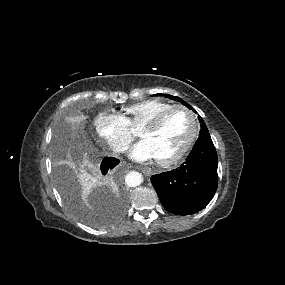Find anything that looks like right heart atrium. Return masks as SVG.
Listing matches in <instances>:
<instances>
[{
  "label": "right heart atrium",
  "mask_w": 285,
  "mask_h": 285,
  "mask_svg": "<svg viewBox=\"0 0 285 285\" xmlns=\"http://www.w3.org/2000/svg\"><path fill=\"white\" fill-rule=\"evenodd\" d=\"M94 127L97 135L115 151H124L133 140L129 126L116 114L100 113L94 120Z\"/></svg>",
  "instance_id": "right-heart-atrium-1"
}]
</instances>
